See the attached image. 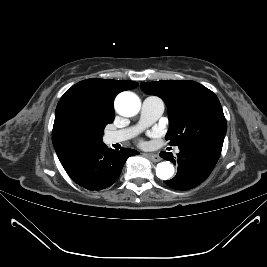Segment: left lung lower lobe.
<instances>
[{
	"mask_svg": "<svg viewBox=\"0 0 267 267\" xmlns=\"http://www.w3.org/2000/svg\"><path fill=\"white\" fill-rule=\"evenodd\" d=\"M175 160L170 152L162 151L160 156L173 164H178L176 176L164 181L177 190H188L202 183L215 167L222 148L212 145L196 144L179 147Z\"/></svg>",
	"mask_w": 267,
	"mask_h": 267,
	"instance_id": "1",
	"label": "left lung lower lobe"
}]
</instances>
